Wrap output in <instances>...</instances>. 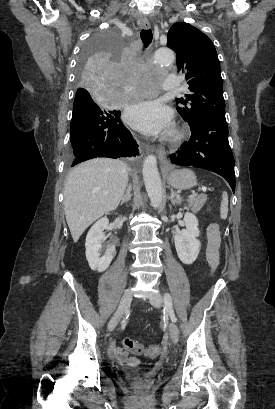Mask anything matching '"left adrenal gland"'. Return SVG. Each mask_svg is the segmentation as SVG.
Instances as JSON below:
<instances>
[{
	"mask_svg": "<svg viewBox=\"0 0 275 409\" xmlns=\"http://www.w3.org/2000/svg\"><path fill=\"white\" fill-rule=\"evenodd\" d=\"M170 196H168L169 200H171L172 205H180V202L182 200L180 194H177V192H174L173 188H170Z\"/></svg>",
	"mask_w": 275,
	"mask_h": 409,
	"instance_id": "1",
	"label": "left adrenal gland"
}]
</instances>
